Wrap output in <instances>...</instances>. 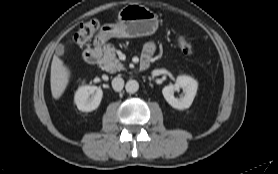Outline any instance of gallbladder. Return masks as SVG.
I'll list each match as a JSON object with an SVG mask.
<instances>
[{
	"mask_svg": "<svg viewBox=\"0 0 278 174\" xmlns=\"http://www.w3.org/2000/svg\"><path fill=\"white\" fill-rule=\"evenodd\" d=\"M64 50H65V47H64L63 44H59L56 48V51H57L58 54H63Z\"/></svg>",
	"mask_w": 278,
	"mask_h": 174,
	"instance_id": "1",
	"label": "gallbladder"
}]
</instances>
